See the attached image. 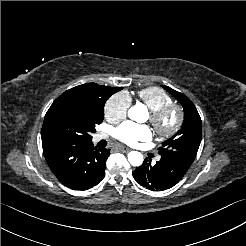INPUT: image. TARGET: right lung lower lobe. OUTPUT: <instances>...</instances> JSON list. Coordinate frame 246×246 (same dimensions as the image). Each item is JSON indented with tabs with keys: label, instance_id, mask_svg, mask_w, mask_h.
<instances>
[{
	"label": "right lung lower lobe",
	"instance_id": "right-lung-lower-lobe-1",
	"mask_svg": "<svg viewBox=\"0 0 246 246\" xmlns=\"http://www.w3.org/2000/svg\"><path fill=\"white\" fill-rule=\"evenodd\" d=\"M45 159L61 183L75 190L97 185L105 175L110 150L89 142L42 143Z\"/></svg>",
	"mask_w": 246,
	"mask_h": 246
}]
</instances>
